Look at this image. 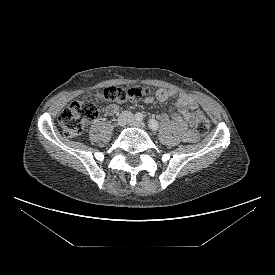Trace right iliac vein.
Returning <instances> with one entry per match:
<instances>
[{
    "mask_svg": "<svg viewBox=\"0 0 275 275\" xmlns=\"http://www.w3.org/2000/svg\"><path fill=\"white\" fill-rule=\"evenodd\" d=\"M118 123L120 125H125L126 124V118L125 117L120 118Z\"/></svg>",
    "mask_w": 275,
    "mask_h": 275,
    "instance_id": "1",
    "label": "right iliac vein"
}]
</instances>
